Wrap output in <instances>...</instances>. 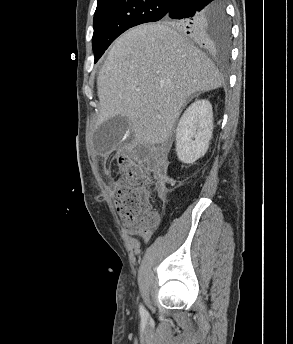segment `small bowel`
<instances>
[{
    "label": "small bowel",
    "instance_id": "obj_1",
    "mask_svg": "<svg viewBox=\"0 0 293 344\" xmlns=\"http://www.w3.org/2000/svg\"><path fill=\"white\" fill-rule=\"evenodd\" d=\"M164 194H165L164 187L160 185L158 188V195L160 198H163ZM145 241H147V239Z\"/></svg>",
    "mask_w": 293,
    "mask_h": 344
}]
</instances>
